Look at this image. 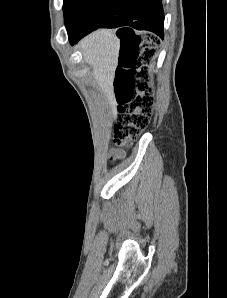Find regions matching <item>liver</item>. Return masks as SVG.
I'll list each match as a JSON object with an SVG mask.
<instances>
[{"label": "liver", "mask_w": 227, "mask_h": 298, "mask_svg": "<svg viewBox=\"0 0 227 298\" xmlns=\"http://www.w3.org/2000/svg\"><path fill=\"white\" fill-rule=\"evenodd\" d=\"M85 62L92 67V75L110 103L114 101L113 81L120 50L115 32L100 29L86 36L79 44Z\"/></svg>", "instance_id": "1"}]
</instances>
